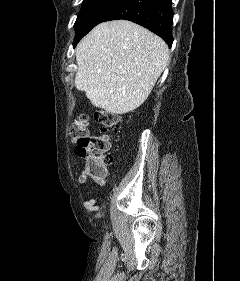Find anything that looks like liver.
<instances>
[{
	"label": "liver",
	"instance_id": "1",
	"mask_svg": "<svg viewBox=\"0 0 240 281\" xmlns=\"http://www.w3.org/2000/svg\"><path fill=\"white\" fill-rule=\"evenodd\" d=\"M167 44L127 20L94 27L76 47L75 87L112 114L137 109L167 66Z\"/></svg>",
	"mask_w": 240,
	"mask_h": 281
}]
</instances>
